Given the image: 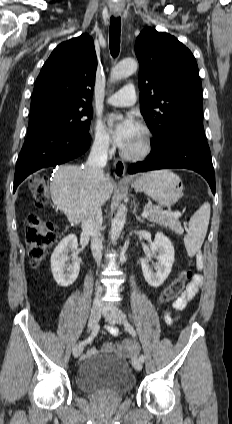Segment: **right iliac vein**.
I'll return each mask as SVG.
<instances>
[{
	"label": "right iliac vein",
	"instance_id": "obj_1",
	"mask_svg": "<svg viewBox=\"0 0 232 424\" xmlns=\"http://www.w3.org/2000/svg\"><path fill=\"white\" fill-rule=\"evenodd\" d=\"M101 312H102L101 305L95 304L92 307L90 312V317H89V323H88V327L90 329H93V327L99 322L101 317ZM83 349H84V345H82L81 343L76 344L75 347L73 348V356L79 357L81 353L83 352Z\"/></svg>",
	"mask_w": 232,
	"mask_h": 424
}]
</instances>
